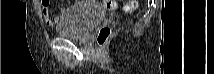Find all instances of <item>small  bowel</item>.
I'll list each match as a JSON object with an SVG mask.
<instances>
[{
    "mask_svg": "<svg viewBox=\"0 0 214 74\" xmlns=\"http://www.w3.org/2000/svg\"><path fill=\"white\" fill-rule=\"evenodd\" d=\"M41 10H42V15L45 21V24L49 28H55L58 23L61 21L62 17L61 16H52L50 12V6H51V1L49 0H42L41 2ZM61 13H65L67 9L65 7H62L60 9Z\"/></svg>",
    "mask_w": 214,
    "mask_h": 74,
    "instance_id": "1",
    "label": "small bowel"
}]
</instances>
